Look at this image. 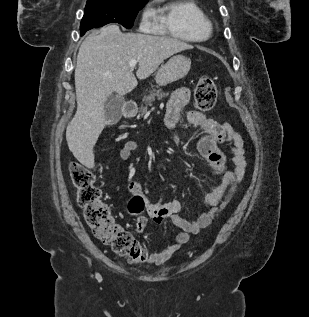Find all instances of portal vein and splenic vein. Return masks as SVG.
Instances as JSON below:
<instances>
[{
  "instance_id": "1",
  "label": "portal vein and splenic vein",
  "mask_w": 309,
  "mask_h": 317,
  "mask_svg": "<svg viewBox=\"0 0 309 317\" xmlns=\"http://www.w3.org/2000/svg\"><path fill=\"white\" fill-rule=\"evenodd\" d=\"M136 64H137V61H136V60H131V61L129 62V65H130V67H132V68H134V67L136 66Z\"/></svg>"
}]
</instances>
